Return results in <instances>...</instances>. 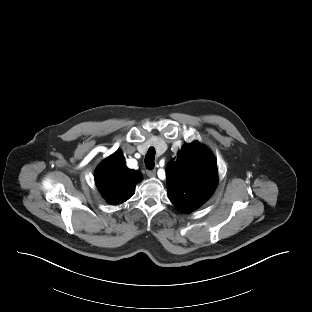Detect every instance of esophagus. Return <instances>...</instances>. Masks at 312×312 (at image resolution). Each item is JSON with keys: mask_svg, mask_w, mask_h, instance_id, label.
<instances>
[{"mask_svg": "<svg viewBox=\"0 0 312 312\" xmlns=\"http://www.w3.org/2000/svg\"><path fill=\"white\" fill-rule=\"evenodd\" d=\"M146 174H147L149 177H155V176H156V171H155V170H147V171H146Z\"/></svg>", "mask_w": 312, "mask_h": 312, "instance_id": "34e87169", "label": "esophagus"}]
</instances>
